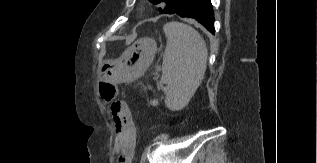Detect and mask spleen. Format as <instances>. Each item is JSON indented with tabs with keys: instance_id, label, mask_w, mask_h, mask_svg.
Wrapping results in <instances>:
<instances>
[{
	"instance_id": "obj_1",
	"label": "spleen",
	"mask_w": 317,
	"mask_h": 163,
	"mask_svg": "<svg viewBox=\"0 0 317 163\" xmlns=\"http://www.w3.org/2000/svg\"><path fill=\"white\" fill-rule=\"evenodd\" d=\"M167 44L163 56L161 82L168 88L165 105L183 109L201 84L207 67L204 39L190 25L169 22L163 27Z\"/></svg>"
}]
</instances>
